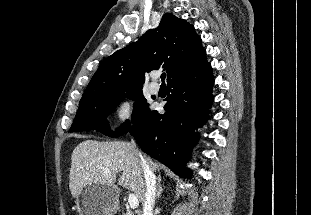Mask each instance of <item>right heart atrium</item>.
<instances>
[{
	"label": "right heart atrium",
	"instance_id": "obj_1",
	"mask_svg": "<svg viewBox=\"0 0 311 215\" xmlns=\"http://www.w3.org/2000/svg\"><path fill=\"white\" fill-rule=\"evenodd\" d=\"M134 115V101L129 98H125L115 107L112 118L116 126L124 127L132 122Z\"/></svg>",
	"mask_w": 311,
	"mask_h": 215
}]
</instances>
